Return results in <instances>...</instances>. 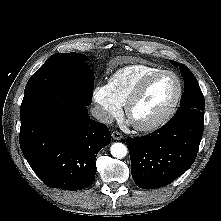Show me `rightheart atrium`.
Returning <instances> with one entry per match:
<instances>
[{
    "label": "right heart atrium",
    "mask_w": 221,
    "mask_h": 221,
    "mask_svg": "<svg viewBox=\"0 0 221 221\" xmlns=\"http://www.w3.org/2000/svg\"><path fill=\"white\" fill-rule=\"evenodd\" d=\"M93 101L96 105V115L103 123H109L121 112V105L112 96L109 87L98 84L93 88Z\"/></svg>",
    "instance_id": "right-heart-atrium-1"
}]
</instances>
